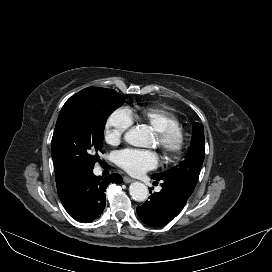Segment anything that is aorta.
Returning <instances> with one entry per match:
<instances>
[{"mask_svg": "<svg viewBox=\"0 0 272 272\" xmlns=\"http://www.w3.org/2000/svg\"><path fill=\"white\" fill-rule=\"evenodd\" d=\"M125 141L136 147H143L147 142V134L141 128H131L124 135ZM131 197L138 202H143L148 198V188L141 182H133L129 187Z\"/></svg>", "mask_w": 272, "mask_h": 272, "instance_id": "1", "label": "aorta"}]
</instances>
